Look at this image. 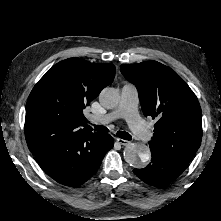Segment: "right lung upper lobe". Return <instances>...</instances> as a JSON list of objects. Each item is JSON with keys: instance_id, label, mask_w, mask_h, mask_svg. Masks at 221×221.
Returning <instances> with one entry per match:
<instances>
[{"instance_id": "1", "label": "right lung upper lobe", "mask_w": 221, "mask_h": 221, "mask_svg": "<svg viewBox=\"0 0 221 221\" xmlns=\"http://www.w3.org/2000/svg\"><path fill=\"white\" fill-rule=\"evenodd\" d=\"M115 66L69 58L34 86L27 104L25 137L33 155L81 133L92 132L83 109L112 83Z\"/></svg>"}]
</instances>
